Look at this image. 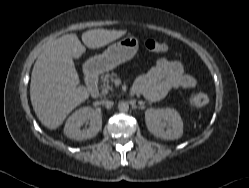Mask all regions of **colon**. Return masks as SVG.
I'll return each mask as SVG.
<instances>
[{
	"mask_svg": "<svg viewBox=\"0 0 249 188\" xmlns=\"http://www.w3.org/2000/svg\"><path fill=\"white\" fill-rule=\"evenodd\" d=\"M145 47L149 51L156 53L165 52L167 50L166 43L155 39H148L145 42ZM208 101H209L208 97L202 93H195L192 94L190 97V103L194 107H203L208 104Z\"/></svg>",
	"mask_w": 249,
	"mask_h": 188,
	"instance_id": "1",
	"label": "colon"
}]
</instances>
